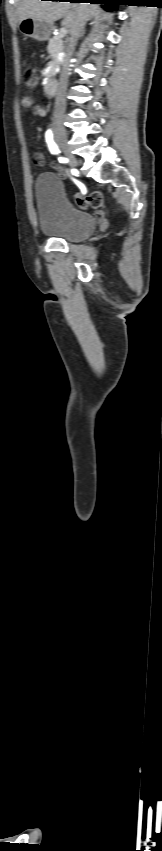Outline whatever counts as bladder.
<instances>
[{
	"instance_id": "obj_1",
	"label": "bladder",
	"mask_w": 162,
	"mask_h": 851,
	"mask_svg": "<svg viewBox=\"0 0 162 851\" xmlns=\"http://www.w3.org/2000/svg\"><path fill=\"white\" fill-rule=\"evenodd\" d=\"M34 196L39 229L44 235L80 242L94 232L95 217L68 200L62 181L56 174H40L34 184Z\"/></svg>"
}]
</instances>
